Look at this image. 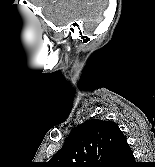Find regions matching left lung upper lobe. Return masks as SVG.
Segmentation results:
<instances>
[{
    "label": "left lung upper lobe",
    "instance_id": "left-lung-upper-lobe-1",
    "mask_svg": "<svg viewBox=\"0 0 155 167\" xmlns=\"http://www.w3.org/2000/svg\"><path fill=\"white\" fill-rule=\"evenodd\" d=\"M125 139L118 124L91 119L72 130L48 164L50 167H110Z\"/></svg>",
    "mask_w": 155,
    "mask_h": 167
}]
</instances>
